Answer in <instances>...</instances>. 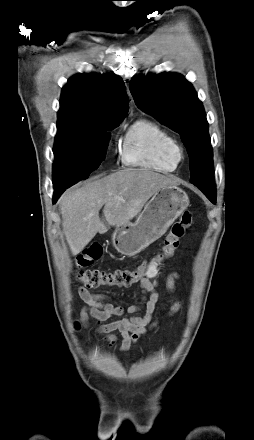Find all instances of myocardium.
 I'll return each instance as SVG.
<instances>
[{"label": "myocardium", "mask_w": 254, "mask_h": 440, "mask_svg": "<svg viewBox=\"0 0 254 440\" xmlns=\"http://www.w3.org/2000/svg\"><path fill=\"white\" fill-rule=\"evenodd\" d=\"M166 155L170 160L178 164L184 157V150L182 145L176 140L172 141L167 147Z\"/></svg>", "instance_id": "1"}]
</instances>
